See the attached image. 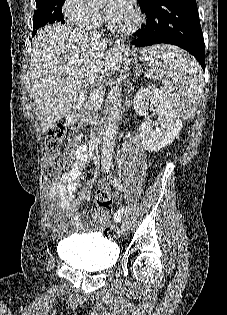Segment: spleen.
<instances>
[{"label":"spleen","instance_id":"3e777b00","mask_svg":"<svg viewBox=\"0 0 227 315\" xmlns=\"http://www.w3.org/2000/svg\"><path fill=\"white\" fill-rule=\"evenodd\" d=\"M142 57L164 84L163 97L184 118L195 116L204 79L199 64L173 46L144 49Z\"/></svg>","mask_w":227,"mask_h":315}]
</instances>
